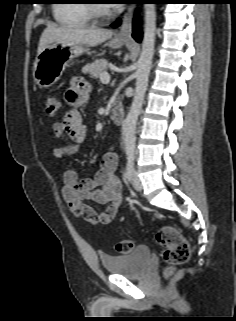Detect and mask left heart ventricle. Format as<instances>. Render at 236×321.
<instances>
[{
    "mask_svg": "<svg viewBox=\"0 0 236 321\" xmlns=\"http://www.w3.org/2000/svg\"><path fill=\"white\" fill-rule=\"evenodd\" d=\"M100 5L103 6V7H108L107 4L100 3Z\"/></svg>",
    "mask_w": 236,
    "mask_h": 321,
    "instance_id": "left-heart-ventricle-1",
    "label": "left heart ventricle"
}]
</instances>
